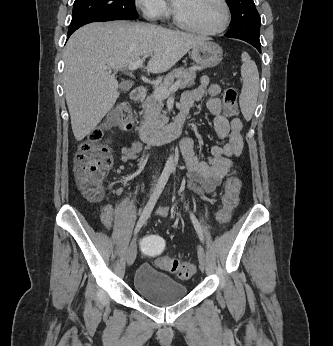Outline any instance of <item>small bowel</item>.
I'll use <instances>...</instances> for the list:
<instances>
[{"label": "small bowel", "mask_w": 333, "mask_h": 346, "mask_svg": "<svg viewBox=\"0 0 333 346\" xmlns=\"http://www.w3.org/2000/svg\"><path fill=\"white\" fill-rule=\"evenodd\" d=\"M219 93L220 86L211 84L209 78L203 76L198 87L184 92L181 101L179 115L187 117L193 105L207 95V108L214 116L216 134L219 139L226 140L223 145L213 146L206 160H201L196 156L192 138L186 137L181 142V152L187 167V187L200 197L215 195L216 188L232 169V159L238 157L242 152L243 123L238 117L228 119L223 115ZM142 149L143 144L138 140L129 146H123L119 153L120 160L123 163L135 160ZM157 211L161 215L168 213V209L163 207L158 208ZM97 217L107 230H111L113 205L104 204Z\"/></svg>", "instance_id": "1"}]
</instances>
